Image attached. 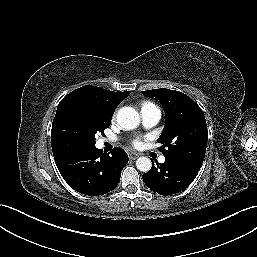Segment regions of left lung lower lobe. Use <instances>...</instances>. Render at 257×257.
<instances>
[{
  "instance_id": "1",
  "label": "left lung lower lobe",
  "mask_w": 257,
  "mask_h": 257,
  "mask_svg": "<svg viewBox=\"0 0 257 257\" xmlns=\"http://www.w3.org/2000/svg\"><path fill=\"white\" fill-rule=\"evenodd\" d=\"M202 163L176 156H165V162L152 166L143 174L148 188L160 195H171L186 189L196 178Z\"/></svg>"
}]
</instances>
